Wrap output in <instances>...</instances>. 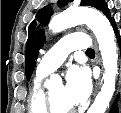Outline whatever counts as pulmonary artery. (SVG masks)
<instances>
[{
    "instance_id": "1",
    "label": "pulmonary artery",
    "mask_w": 121,
    "mask_h": 113,
    "mask_svg": "<svg viewBox=\"0 0 121 113\" xmlns=\"http://www.w3.org/2000/svg\"><path fill=\"white\" fill-rule=\"evenodd\" d=\"M88 49H90V47L86 34H69L63 37L41 58L37 67V73L48 75L57 70L72 51Z\"/></svg>"
}]
</instances>
